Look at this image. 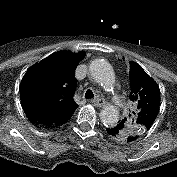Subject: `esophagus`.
Listing matches in <instances>:
<instances>
[{"instance_id":"obj_1","label":"esophagus","mask_w":177,"mask_h":177,"mask_svg":"<svg viewBox=\"0 0 177 177\" xmlns=\"http://www.w3.org/2000/svg\"><path fill=\"white\" fill-rule=\"evenodd\" d=\"M92 103L97 107H102L106 104L103 98H95L92 100Z\"/></svg>"}]
</instances>
